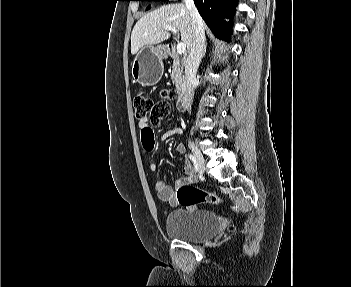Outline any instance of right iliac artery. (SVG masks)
Masks as SVG:
<instances>
[{"mask_svg": "<svg viewBox=\"0 0 351 287\" xmlns=\"http://www.w3.org/2000/svg\"><path fill=\"white\" fill-rule=\"evenodd\" d=\"M189 158H190V160H191L192 163H193L195 172L197 173V172L199 171V169H198V166H197V164H196V159H195V157H194L192 154H189Z\"/></svg>", "mask_w": 351, "mask_h": 287, "instance_id": "1", "label": "right iliac artery"}]
</instances>
